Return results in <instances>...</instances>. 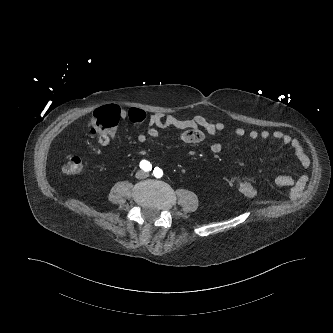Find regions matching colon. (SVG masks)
I'll list each match as a JSON object with an SVG mask.
<instances>
[{
	"mask_svg": "<svg viewBox=\"0 0 333 333\" xmlns=\"http://www.w3.org/2000/svg\"><path fill=\"white\" fill-rule=\"evenodd\" d=\"M119 119L120 109L115 105H106L95 110L89 121V126L96 134L108 133L116 128ZM63 169L67 174L81 173L83 171L81 158L77 154H69ZM240 191L243 195L251 198L257 195L251 180L243 181L240 184Z\"/></svg>",
	"mask_w": 333,
	"mask_h": 333,
	"instance_id": "colon-1",
	"label": "colon"
}]
</instances>
